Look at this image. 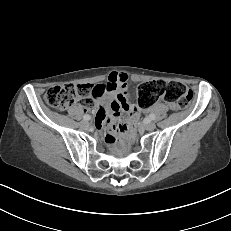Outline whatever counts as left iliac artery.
<instances>
[{"label": "left iliac artery", "mask_w": 231, "mask_h": 231, "mask_svg": "<svg viewBox=\"0 0 231 231\" xmlns=\"http://www.w3.org/2000/svg\"><path fill=\"white\" fill-rule=\"evenodd\" d=\"M148 118H149V120H154L155 119V115L154 114H150Z\"/></svg>", "instance_id": "obj_1"}]
</instances>
